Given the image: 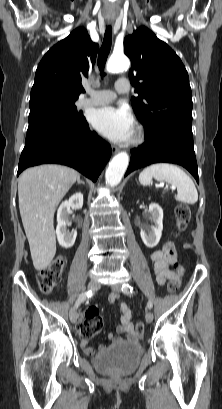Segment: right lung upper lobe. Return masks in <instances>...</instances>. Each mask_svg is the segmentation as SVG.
Returning <instances> with one entry per match:
<instances>
[{
  "label": "right lung upper lobe",
  "mask_w": 222,
  "mask_h": 409,
  "mask_svg": "<svg viewBox=\"0 0 222 409\" xmlns=\"http://www.w3.org/2000/svg\"><path fill=\"white\" fill-rule=\"evenodd\" d=\"M98 44L77 28L42 58L30 94V108L50 102H73L84 92L81 84L95 63Z\"/></svg>",
  "instance_id": "cb5924a9"
}]
</instances>
